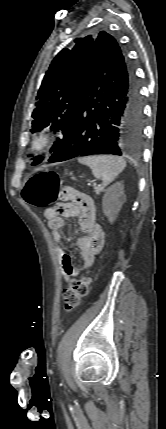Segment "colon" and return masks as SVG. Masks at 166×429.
<instances>
[{
  "mask_svg": "<svg viewBox=\"0 0 166 429\" xmlns=\"http://www.w3.org/2000/svg\"><path fill=\"white\" fill-rule=\"evenodd\" d=\"M23 198L29 204L43 208L57 199L69 200L79 206H86L90 198L72 187H61L60 177L54 171H41L32 175L26 182ZM90 278L82 275L72 279L63 290V303L66 311H72L87 296Z\"/></svg>",
  "mask_w": 166,
  "mask_h": 429,
  "instance_id": "obj_1",
  "label": "colon"
}]
</instances>
